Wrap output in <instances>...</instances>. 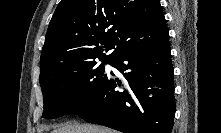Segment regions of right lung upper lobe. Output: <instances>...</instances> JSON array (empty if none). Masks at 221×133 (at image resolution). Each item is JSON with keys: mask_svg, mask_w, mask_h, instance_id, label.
Instances as JSON below:
<instances>
[{"mask_svg": "<svg viewBox=\"0 0 221 133\" xmlns=\"http://www.w3.org/2000/svg\"><path fill=\"white\" fill-rule=\"evenodd\" d=\"M168 36L159 0H61L46 34L40 75L63 63L113 62Z\"/></svg>", "mask_w": 221, "mask_h": 133, "instance_id": "cb5924a9", "label": "right lung upper lobe"}]
</instances>
